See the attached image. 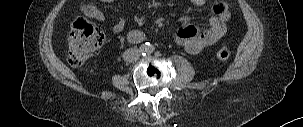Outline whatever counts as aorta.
<instances>
[{
    "instance_id": "762f6f07",
    "label": "aorta",
    "mask_w": 303,
    "mask_h": 127,
    "mask_svg": "<svg viewBox=\"0 0 303 127\" xmlns=\"http://www.w3.org/2000/svg\"><path fill=\"white\" fill-rule=\"evenodd\" d=\"M148 49H149V46H148V45H145V46H144V49L142 50V52H143V53H147Z\"/></svg>"
}]
</instances>
